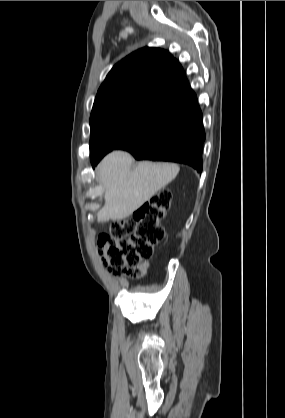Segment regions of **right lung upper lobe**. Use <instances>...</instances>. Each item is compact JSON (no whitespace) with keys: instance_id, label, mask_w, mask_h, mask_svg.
<instances>
[{"instance_id":"1","label":"right lung upper lobe","mask_w":285,"mask_h":418,"mask_svg":"<svg viewBox=\"0 0 285 418\" xmlns=\"http://www.w3.org/2000/svg\"><path fill=\"white\" fill-rule=\"evenodd\" d=\"M195 97L180 63L168 51L145 47L111 69L98 90L92 112L124 101L174 109Z\"/></svg>"}]
</instances>
